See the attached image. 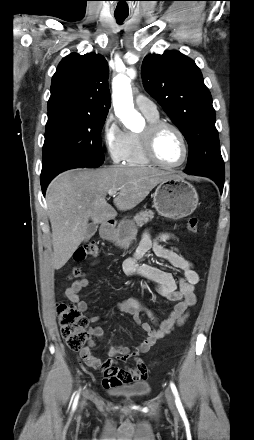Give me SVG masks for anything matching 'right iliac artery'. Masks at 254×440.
<instances>
[{
	"instance_id": "1",
	"label": "right iliac artery",
	"mask_w": 254,
	"mask_h": 440,
	"mask_svg": "<svg viewBox=\"0 0 254 440\" xmlns=\"http://www.w3.org/2000/svg\"><path fill=\"white\" fill-rule=\"evenodd\" d=\"M78 399H79V393H77V395H76V397H75V399H74L73 406H72V409H73V410H75V408H76V406H77Z\"/></svg>"
}]
</instances>
